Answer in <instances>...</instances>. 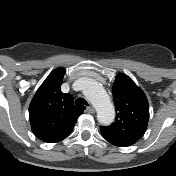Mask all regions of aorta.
Instances as JSON below:
<instances>
[{
    "mask_svg": "<svg viewBox=\"0 0 176 176\" xmlns=\"http://www.w3.org/2000/svg\"><path fill=\"white\" fill-rule=\"evenodd\" d=\"M83 92L96 108L98 122L102 125H110L115 118V109L105 89L98 82L86 79Z\"/></svg>",
    "mask_w": 176,
    "mask_h": 176,
    "instance_id": "762f6f07",
    "label": "aorta"
}]
</instances>
